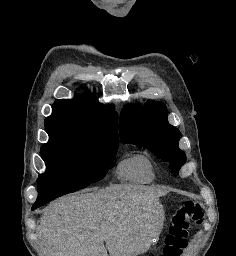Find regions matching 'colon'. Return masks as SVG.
I'll use <instances>...</instances> for the list:
<instances>
[{"label":"colon","instance_id":"1","mask_svg":"<svg viewBox=\"0 0 236 256\" xmlns=\"http://www.w3.org/2000/svg\"><path fill=\"white\" fill-rule=\"evenodd\" d=\"M203 220L201 204L195 200L184 201L170 217L163 256H183L190 222L201 225Z\"/></svg>","mask_w":236,"mask_h":256}]
</instances>
